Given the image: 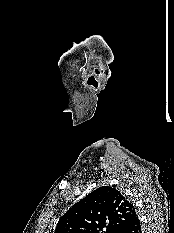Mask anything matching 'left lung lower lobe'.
I'll use <instances>...</instances> for the list:
<instances>
[{"instance_id": "0a47b994", "label": "left lung lower lobe", "mask_w": 174, "mask_h": 233, "mask_svg": "<svg viewBox=\"0 0 174 233\" xmlns=\"http://www.w3.org/2000/svg\"><path fill=\"white\" fill-rule=\"evenodd\" d=\"M119 233H142L138 216L136 215L130 222H128Z\"/></svg>"}]
</instances>
